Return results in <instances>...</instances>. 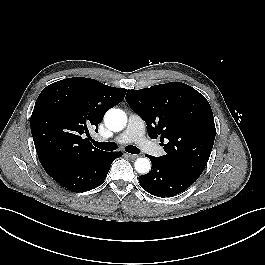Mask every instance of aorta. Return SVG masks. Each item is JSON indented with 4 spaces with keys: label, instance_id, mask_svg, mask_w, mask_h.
<instances>
[{
    "label": "aorta",
    "instance_id": "762f6f07",
    "mask_svg": "<svg viewBox=\"0 0 265 265\" xmlns=\"http://www.w3.org/2000/svg\"><path fill=\"white\" fill-rule=\"evenodd\" d=\"M104 123L107 128L118 132L125 128L127 124V116L121 109L112 108L105 113ZM135 170L140 174H147L151 169L148 158H138L135 163Z\"/></svg>",
    "mask_w": 265,
    "mask_h": 265
}]
</instances>
